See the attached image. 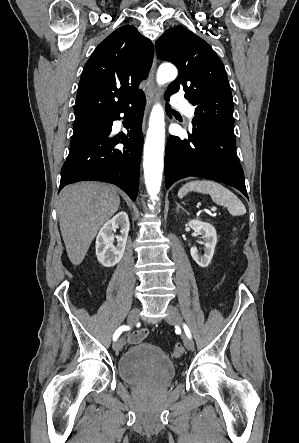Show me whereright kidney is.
Masks as SVG:
<instances>
[{
	"mask_svg": "<svg viewBox=\"0 0 299 443\" xmlns=\"http://www.w3.org/2000/svg\"><path fill=\"white\" fill-rule=\"evenodd\" d=\"M119 227L121 235L117 237V245L114 246L113 231ZM129 227L128 215L126 212H119L100 229L95 248L97 259L103 266L113 267L120 262L125 251Z\"/></svg>",
	"mask_w": 299,
	"mask_h": 443,
	"instance_id": "right-kidney-1",
	"label": "right kidney"
}]
</instances>
